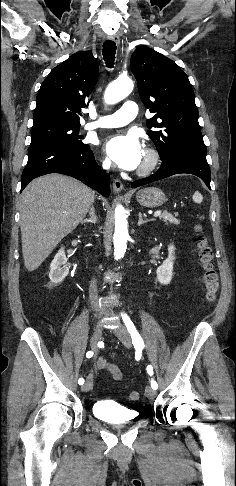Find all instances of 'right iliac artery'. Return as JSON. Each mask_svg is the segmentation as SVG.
<instances>
[{"label":"right iliac artery","mask_w":236,"mask_h":486,"mask_svg":"<svg viewBox=\"0 0 236 486\" xmlns=\"http://www.w3.org/2000/svg\"><path fill=\"white\" fill-rule=\"evenodd\" d=\"M92 356H93V352H92V351H88V352L86 353V357H87V358H91ZM78 383H79L80 385H82V384L84 383V379H83V378H80V379L78 380Z\"/></svg>","instance_id":"obj_1"}]
</instances>
